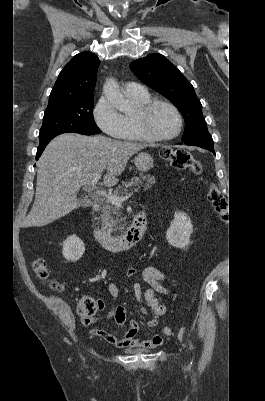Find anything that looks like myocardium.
I'll use <instances>...</instances> for the list:
<instances>
[{"label":"myocardium","instance_id":"myocardium-1","mask_svg":"<svg viewBox=\"0 0 265 401\" xmlns=\"http://www.w3.org/2000/svg\"><path fill=\"white\" fill-rule=\"evenodd\" d=\"M159 105L169 108L177 117L178 130L175 134H173L171 136L156 138V137L151 136L147 131L146 124H145L146 118L152 112V110ZM136 124H137V128L139 130V133L142 136V139L145 141H148V142H166V141L173 140L182 133L183 125H184L182 114L180 113L178 108L175 105H173L172 103H170L168 101H164V100H151L148 103L140 106L136 113Z\"/></svg>","mask_w":265,"mask_h":401}]
</instances>
